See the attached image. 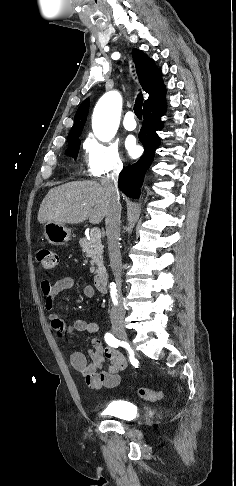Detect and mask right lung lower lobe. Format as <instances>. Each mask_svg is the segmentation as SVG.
I'll return each instance as SVG.
<instances>
[{
	"label": "right lung lower lobe",
	"mask_w": 236,
	"mask_h": 486,
	"mask_svg": "<svg viewBox=\"0 0 236 486\" xmlns=\"http://www.w3.org/2000/svg\"><path fill=\"white\" fill-rule=\"evenodd\" d=\"M165 97L149 102L143 107V126L139 133V140L144 146V154L134 164L125 167L119 176L118 187L131 198H139L140 188L148 166L151 165L155 150L160 145L156 131L161 130L163 122L160 120L165 113Z\"/></svg>",
	"instance_id": "1"
}]
</instances>
